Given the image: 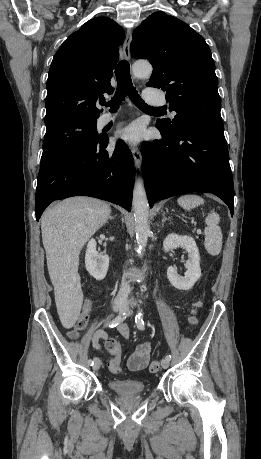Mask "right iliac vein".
<instances>
[{
    "label": "right iliac vein",
    "instance_id": "obj_1",
    "mask_svg": "<svg viewBox=\"0 0 261 459\" xmlns=\"http://www.w3.org/2000/svg\"><path fill=\"white\" fill-rule=\"evenodd\" d=\"M124 308H125V305L123 303H118L117 302V303H114V305H113V310L115 312H118V311L122 312L124 310ZM100 366H101V360L99 358H97L95 360V362H94L93 370H95V371L98 370L100 368Z\"/></svg>",
    "mask_w": 261,
    "mask_h": 459
}]
</instances>
